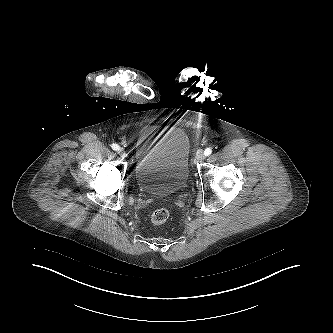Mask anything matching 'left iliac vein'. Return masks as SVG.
<instances>
[{
  "mask_svg": "<svg viewBox=\"0 0 333 333\" xmlns=\"http://www.w3.org/2000/svg\"><path fill=\"white\" fill-rule=\"evenodd\" d=\"M204 158H205V155H204L203 151L200 150L196 153L195 160L197 162L203 160Z\"/></svg>",
  "mask_w": 333,
  "mask_h": 333,
  "instance_id": "obj_1",
  "label": "left iliac vein"
}]
</instances>
